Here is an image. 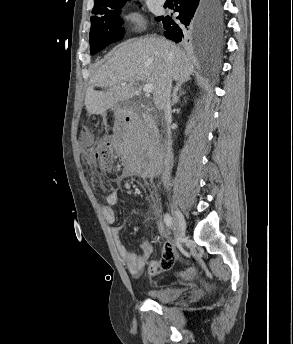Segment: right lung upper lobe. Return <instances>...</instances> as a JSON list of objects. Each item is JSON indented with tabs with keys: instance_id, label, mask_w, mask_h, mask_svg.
I'll return each mask as SVG.
<instances>
[{
	"instance_id": "obj_1",
	"label": "right lung upper lobe",
	"mask_w": 293,
	"mask_h": 344,
	"mask_svg": "<svg viewBox=\"0 0 293 344\" xmlns=\"http://www.w3.org/2000/svg\"><path fill=\"white\" fill-rule=\"evenodd\" d=\"M118 1H122V0H94L95 4H94V9L100 8V7H104L110 4H113L115 2Z\"/></svg>"
}]
</instances>
